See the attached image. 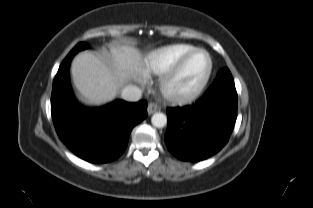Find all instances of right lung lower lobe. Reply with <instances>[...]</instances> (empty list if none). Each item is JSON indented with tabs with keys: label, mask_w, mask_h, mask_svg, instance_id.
Wrapping results in <instances>:
<instances>
[{
	"label": "right lung lower lobe",
	"mask_w": 313,
	"mask_h": 208,
	"mask_svg": "<svg viewBox=\"0 0 313 208\" xmlns=\"http://www.w3.org/2000/svg\"><path fill=\"white\" fill-rule=\"evenodd\" d=\"M77 52L67 55L54 78L51 113L55 129L78 157L92 163L110 162L125 151L131 130L147 116V102L116 100L98 108L79 105L69 79L70 62Z\"/></svg>",
	"instance_id": "obj_1"
}]
</instances>
